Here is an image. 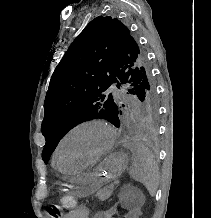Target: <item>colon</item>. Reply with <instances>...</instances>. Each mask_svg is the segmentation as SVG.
<instances>
[{
    "label": "colon",
    "mask_w": 211,
    "mask_h": 218,
    "mask_svg": "<svg viewBox=\"0 0 211 218\" xmlns=\"http://www.w3.org/2000/svg\"><path fill=\"white\" fill-rule=\"evenodd\" d=\"M61 206L65 209H74L77 206L76 199L71 194H63L60 198Z\"/></svg>",
    "instance_id": "5ec220e1"
}]
</instances>
